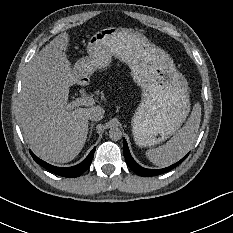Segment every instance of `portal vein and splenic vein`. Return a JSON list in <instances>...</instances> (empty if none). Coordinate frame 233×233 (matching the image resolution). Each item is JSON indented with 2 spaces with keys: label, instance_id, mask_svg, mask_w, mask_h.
<instances>
[{
  "label": "portal vein and splenic vein",
  "instance_id": "18ae733b",
  "mask_svg": "<svg viewBox=\"0 0 233 233\" xmlns=\"http://www.w3.org/2000/svg\"><path fill=\"white\" fill-rule=\"evenodd\" d=\"M95 103V99L91 96H83L80 98H76L75 101L72 103L71 107L77 106H91Z\"/></svg>",
  "mask_w": 233,
  "mask_h": 233
}]
</instances>
